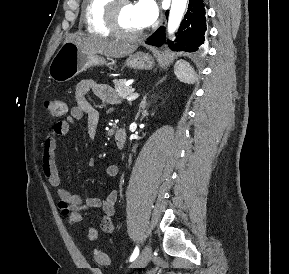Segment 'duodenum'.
Masks as SVG:
<instances>
[{
  "instance_id": "1",
  "label": "duodenum",
  "mask_w": 289,
  "mask_h": 274,
  "mask_svg": "<svg viewBox=\"0 0 289 274\" xmlns=\"http://www.w3.org/2000/svg\"><path fill=\"white\" fill-rule=\"evenodd\" d=\"M115 144L118 149H123L126 145L127 134L124 128H118L114 134Z\"/></svg>"
}]
</instances>
